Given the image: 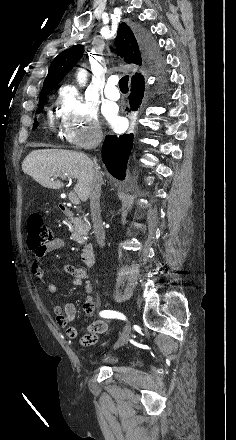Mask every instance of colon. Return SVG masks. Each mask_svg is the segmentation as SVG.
Masks as SVG:
<instances>
[{
    "label": "colon",
    "instance_id": "5ec220e1",
    "mask_svg": "<svg viewBox=\"0 0 236 440\" xmlns=\"http://www.w3.org/2000/svg\"><path fill=\"white\" fill-rule=\"evenodd\" d=\"M53 239V231L41 215L33 213L27 219V242L33 249H39Z\"/></svg>",
    "mask_w": 236,
    "mask_h": 440
}]
</instances>
